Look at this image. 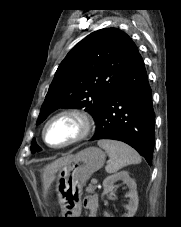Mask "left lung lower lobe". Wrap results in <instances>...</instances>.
<instances>
[{
  "instance_id": "1",
  "label": "left lung lower lobe",
  "mask_w": 181,
  "mask_h": 227,
  "mask_svg": "<svg viewBox=\"0 0 181 227\" xmlns=\"http://www.w3.org/2000/svg\"><path fill=\"white\" fill-rule=\"evenodd\" d=\"M96 124L97 130L91 140L123 141L151 164L155 141V113L151 88L139 53L114 88Z\"/></svg>"
}]
</instances>
